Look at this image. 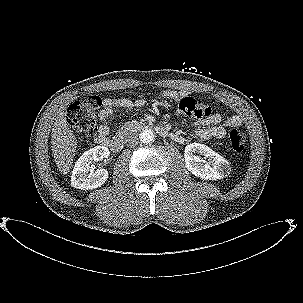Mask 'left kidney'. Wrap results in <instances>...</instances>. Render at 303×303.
<instances>
[{
	"label": "left kidney",
	"instance_id": "obj_1",
	"mask_svg": "<svg viewBox=\"0 0 303 303\" xmlns=\"http://www.w3.org/2000/svg\"><path fill=\"white\" fill-rule=\"evenodd\" d=\"M195 153L204 156L205 160L196 156ZM184 156L187 169L202 179H222L228 173L229 162L204 144L191 143L187 145Z\"/></svg>",
	"mask_w": 303,
	"mask_h": 303
}]
</instances>
